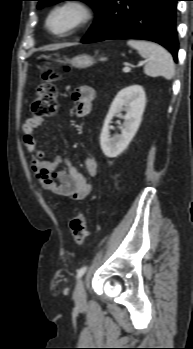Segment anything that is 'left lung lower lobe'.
<instances>
[{
  "label": "left lung lower lobe",
  "mask_w": 193,
  "mask_h": 349,
  "mask_svg": "<svg viewBox=\"0 0 193 349\" xmlns=\"http://www.w3.org/2000/svg\"><path fill=\"white\" fill-rule=\"evenodd\" d=\"M179 0H107L82 43L144 39L167 48L177 61L176 3Z\"/></svg>",
  "instance_id": "left-lung-lower-lobe-1"
}]
</instances>
